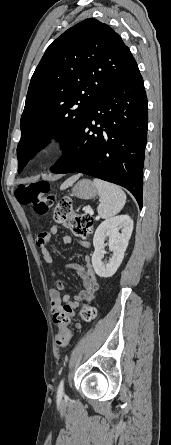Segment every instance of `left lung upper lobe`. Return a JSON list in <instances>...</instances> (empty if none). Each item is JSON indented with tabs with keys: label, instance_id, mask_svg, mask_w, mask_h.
Masks as SVG:
<instances>
[{
	"label": "left lung upper lobe",
	"instance_id": "left-lung-upper-lobe-1",
	"mask_svg": "<svg viewBox=\"0 0 171 445\" xmlns=\"http://www.w3.org/2000/svg\"><path fill=\"white\" fill-rule=\"evenodd\" d=\"M136 66L121 37L94 18L59 36L31 78L20 121L18 172L54 136L65 139V150L94 101Z\"/></svg>",
	"mask_w": 171,
	"mask_h": 445
}]
</instances>
